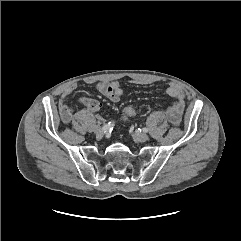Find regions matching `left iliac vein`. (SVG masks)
I'll use <instances>...</instances> for the list:
<instances>
[{"label": "left iliac vein", "mask_w": 241, "mask_h": 241, "mask_svg": "<svg viewBox=\"0 0 241 241\" xmlns=\"http://www.w3.org/2000/svg\"><path fill=\"white\" fill-rule=\"evenodd\" d=\"M133 138L136 142H146L149 139L148 134L146 133H134Z\"/></svg>", "instance_id": "4c4485c4"}]
</instances>
